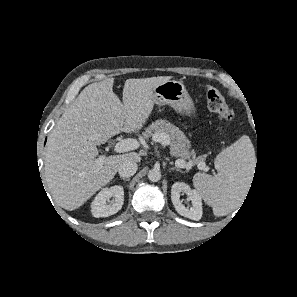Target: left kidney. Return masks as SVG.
<instances>
[{
	"mask_svg": "<svg viewBox=\"0 0 297 297\" xmlns=\"http://www.w3.org/2000/svg\"><path fill=\"white\" fill-rule=\"evenodd\" d=\"M181 193H185L188 199L192 202L191 208H186L180 199ZM171 200L176 211L191 220L198 221L202 217V200L199 192L191 189L188 184L176 182L172 185Z\"/></svg>",
	"mask_w": 297,
	"mask_h": 297,
	"instance_id": "5707ae66",
	"label": "left kidney"
}]
</instances>
